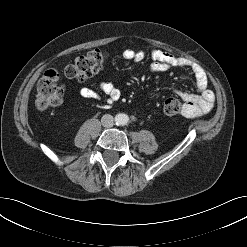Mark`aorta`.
<instances>
[{
  "label": "aorta",
  "instance_id": "762f6f07",
  "mask_svg": "<svg viewBox=\"0 0 247 247\" xmlns=\"http://www.w3.org/2000/svg\"><path fill=\"white\" fill-rule=\"evenodd\" d=\"M129 121V116L127 114L124 113H119L116 115L115 117V122L117 125H126Z\"/></svg>",
  "mask_w": 247,
  "mask_h": 247
}]
</instances>
